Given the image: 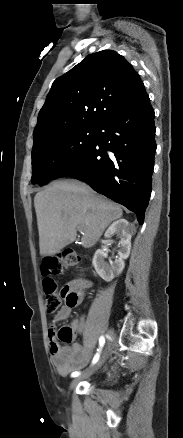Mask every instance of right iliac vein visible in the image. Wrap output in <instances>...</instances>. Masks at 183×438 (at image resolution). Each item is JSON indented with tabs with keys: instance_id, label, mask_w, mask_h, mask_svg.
<instances>
[{
	"instance_id": "63e3f726",
	"label": "right iliac vein",
	"mask_w": 183,
	"mask_h": 438,
	"mask_svg": "<svg viewBox=\"0 0 183 438\" xmlns=\"http://www.w3.org/2000/svg\"><path fill=\"white\" fill-rule=\"evenodd\" d=\"M109 336H110V341L107 345V347L105 348V350L103 351V354L100 358V360L94 365L92 366L84 375L79 376L77 378H75L70 385V388L72 389L80 380H82L83 378L88 377L92 372H95L96 370H98L103 363L106 361V359L109 357L110 352L112 350V340L114 339L115 335L114 332L112 330L108 331Z\"/></svg>"
}]
</instances>
